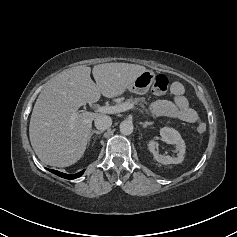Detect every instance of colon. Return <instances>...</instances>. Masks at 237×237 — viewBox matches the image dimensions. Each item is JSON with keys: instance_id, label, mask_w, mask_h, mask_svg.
Returning <instances> with one entry per match:
<instances>
[{"instance_id": "1", "label": "colon", "mask_w": 237, "mask_h": 237, "mask_svg": "<svg viewBox=\"0 0 237 237\" xmlns=\"http://www.w3.org/2000/svg\"><path fill=\"white\" fill-rule=\"evenodd\" d=\"M169 81L165 75L158 74L153 78L151 92L156 95H164L168 90ZM206 125L204 123H200L197 126V132L199 134H204L206 132Z\"/></svg>"}]
</instances>
